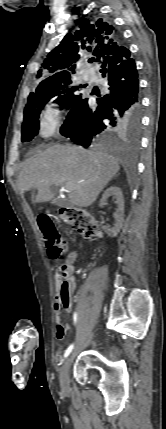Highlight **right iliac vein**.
Listing matches in <instances>:
<instances>
[{"mask_svg":"<svg viewBox=\"0 0 166 429\" xmlns=\"http://www.w3.org/2000/svg\"><path fill=\"white\" fill-rule=\"evenodd\" d=\"M71 361H72V356L70 355L64 361L60 372V384L64 390H67L69 385V368H70Z\"/></svg>","mask_w":166,"mask_h":429,"instance_id":"obj_1","label":"right iliac vein"}]
</instances>
